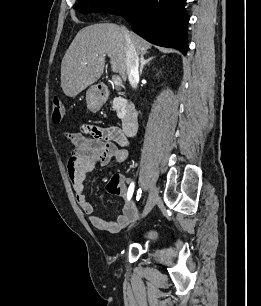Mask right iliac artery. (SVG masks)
Here are the masks:
<instances>
[{"instance_id": "right-iliac-artery-1", "label": "right iliac artery", "mask_w": 261, "mask_h": 306, "mask_svg": "<svg viewBox=\"0 0 261 306\" xmlns=\"http://www.w3.org/2000/svg\"><path fill=\"white\" fill-rule=\"evenodd\" d=\"M133 190H134V184L132 183L129 187V195H128V198L131 197L132 193H133ZM141 193H142V190L141 188L138 189L137 191V196H136V200L139 201L140 200V197H141Z\"/></svg>"}]
</instances>
